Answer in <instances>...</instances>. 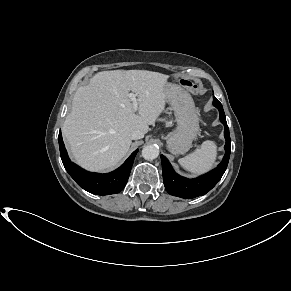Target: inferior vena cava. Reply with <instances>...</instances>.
<instances>
[{
  "mask_svg": "<svg viewBox=\"0 0 291 291\" xmlns=\"http://www.w3.org/2000/svg\"><path fill=\"white\" fill-rule=\"evenodd\" d=\"M144 137V133L141 130H134L131 134V139L137 140Z\"/></svg>",
  "mask_w": 291,
  "mask_h": 291,
  "instance_id": "inferior-vena-cava-1",
  "label": "inferior vena cava"
}]
</instances>
